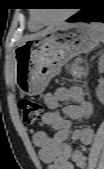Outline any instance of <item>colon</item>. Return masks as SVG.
Listing matches in <instances>:
<instances>
[{
  "label": "colon",
  "instance_id": "colon-1",
  "mask_svg": "<svg viewBox=\"0 0 104 169\" xmlns=\"http://www.w3.org/2000/svg\"><path fill=\"white\" fill-rule=\"evenodd\" d=\"M18 108L24 123L28 126H33L36 124L43 114L42 104L31 99L20 100L18 103Z\"/></svg>",
  "mask_w": 104,
  "mask_h": 169
}]
</instances>
